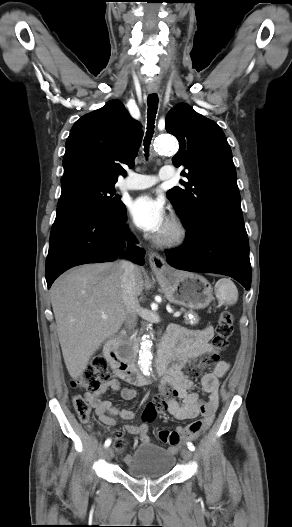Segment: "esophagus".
<instances>
[{"label": "esophagus", "mask_w": 292, "mask_h": 527, "mask_svg": "<svg viewBox=\"0 0 292 527\" xmlns=\"http://www.w3.org/2000/svg\"><path fill=\"white\" fill-rule=\"evenodd\" d=\"M149 93H153L150 91ZM149 265L154 272H162L167 268L165 259L158 253L150 251L148 254Z\"/></svg>", "instance_id": "1"}]
</instances>
